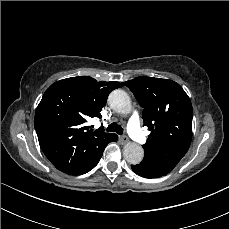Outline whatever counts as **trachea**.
Listing matches in <instances>:
<instances>
[{
	"mask_svg": "<svg viewBox=\"0 0 229 229\" xmlns=\"http://www.w3.org/2000/svg\"><path fill=\"white\" fill-rule=\"evenodd\" d=\"M106 130H107V132H116L119 135H123V132H124L123 128L120 125L116 124V123H111L107 127Z\"/></svg>",
	"mask_w": 229,
	"mask_h": 229,
	"instance_id": "1",
	"label": "trachea"
}]
</instances>
